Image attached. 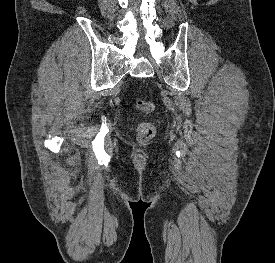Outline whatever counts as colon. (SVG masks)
<instances>
[{
	"label": "colon",
	"mask_w": 275,
	"mask_h": 263,
	"mask_svg": "<svg viewBox=\"0 0 275 263\" xmlns=\"http://www.w3.org/2000/svg\"><path fill=\"white\" fill-rule=\"evenodd\" d=\"M136 107L142 114H151L155 110V104L152 100L139 98L136 101ZM137 137L141 142L150 140L155 134V127L150 122H141L137 126Z\"/></svg>",
	"instance_id": "colon-1"
}]
</instances>
